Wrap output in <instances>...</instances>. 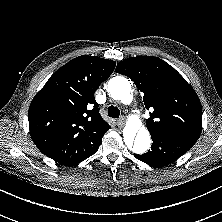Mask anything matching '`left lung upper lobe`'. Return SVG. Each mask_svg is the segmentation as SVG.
<instances>
[{"instance_id": "1", "label": "left lung upper lobe", "mask_w": 222, "mask_h": 222, "mask_svg": "<svg viewBox=\"0 0 222 222\" xmlns=\"http://www.w3.org/2000/svg\"><path fill=\"white\" fill-rule=\"evenodd\" d=\"M116 72L128 76L144 94L149 132L182 134L198 139L202 130V108L188 82L168 63L152 56L130 57L117 64Z\"/></svg>"}]
</instances>
